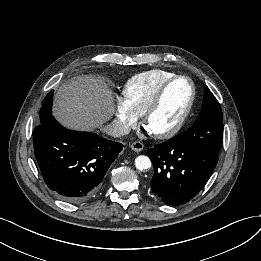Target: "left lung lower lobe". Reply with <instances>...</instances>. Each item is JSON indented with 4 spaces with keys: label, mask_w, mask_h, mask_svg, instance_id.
I'll use <instances>...</instances> for the list:
<instances>
[{
    "label": "left lung lower lobe",
    "mask_w": 261,
    "mask_h": 261,
    "mask_svg": "<svg viewBox=\"0 0 261 261\" xmlns=\"http://www.w3.org/2000/svg\"><path fill=\"white\" fill-rule=\"evenodd\" d=\"M154 166L150 187L163 203L178 206L194 198L210 178L218 154L198 148L181 133L147 152Z\"/></svg>",
    "instance_id": "left-lung-lower-lobe-1"
}]
</instances>
